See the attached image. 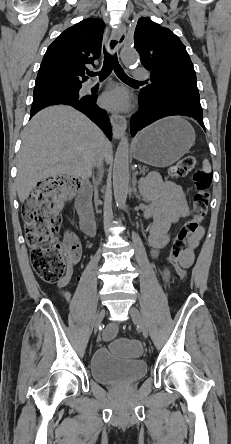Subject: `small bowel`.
I'll list each match as a JSON object with an SVG mask.
<instances>
[{
	"label": "small bowel",
	"mask_w": 231,
	"mask_h": 444,
	"mask_svg": "<svg viewBox=\"0 0 231 444\" xmlns=\"http://www.w3.org/2000/svg\"><path fill=\"white\" fill-rule=\"evenodd\" d=\"M143 192L151 203L148 215L153 217L154 222L150 228L148 242L152 256L156 257L160 250L169 242V229L171 225L180 218L188 216L190 210L183 189L175 183L162 180L158 175H152L146 179L143 184ZM203 233V229L199 228L189 240L188 247L181 259L187 268L193 264L195 251L199 246ZM64 246L70 253L75 254L78 258L80 257V242L73 232L67 231L65 233ZM170 278V270L168 267H165L162 271L164 283L168 284ZM70 279L71 271H68L67 275L58 283V288L66 302L70 301L71 295L64 291L63 288ZM115 334L116 326L111 325L105 330L104 338L110 340Z\"/></svg>",
	"instance_id": "obj_1"
}]
</instances>
